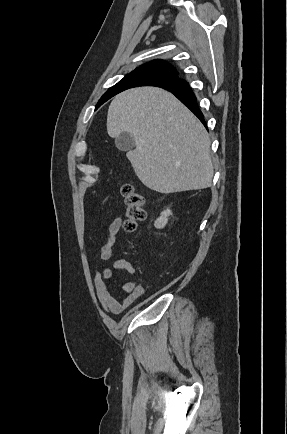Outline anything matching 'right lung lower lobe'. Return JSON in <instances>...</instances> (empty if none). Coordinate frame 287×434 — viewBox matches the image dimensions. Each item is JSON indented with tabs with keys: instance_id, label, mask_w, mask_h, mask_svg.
I'll list each match as a JSON object with an SVG mask.
<instances>
[{
	"instance_id": "right-lung-lower-lobe-1",
	"label": "right lung lower lobe",
	"mask_w": 287,
	"mask_h": 434,
	"mask_svg": "<svg viewBox=\"0 0 287 434\" xmlns=\"http://www.w3.org/2000/svg\"><path fill=\"white\" fill-rule=\"evenodd\" d=\"M162 88L172 92L182 103H184L199 119L200 121L206 126L204 121V116L202 112L200 111L197 99L189 87L188 82L184 80H179L177 82L168 84L166 86H163Z\"/></svg>"
}]
</instances>
